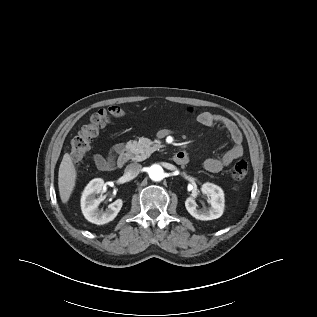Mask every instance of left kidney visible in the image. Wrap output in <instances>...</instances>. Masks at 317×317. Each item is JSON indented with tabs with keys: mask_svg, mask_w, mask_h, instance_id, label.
Returning <instances> with one entry per match:
<instances>
[{
	"mask_svg": "<svg viewBox=\"0 0 317 317\" xmlns=\"http://www.w3.org/2000/svg\"><path fill=\"white\" fill-rule=\"evenodd\" d=\"M201 191L210 197L209 203L211 207L198 209L194 196H190L185 201V207L189 214L198 220L204 221L221 217L225 205L223 190L219 186L207 182L202 185Z\"/></svg>",
	"mask_w": 317,
	"mask_h": 317,
	"instance_id": "obj_1",
	"label": "left kidney"
}]
</instances>
